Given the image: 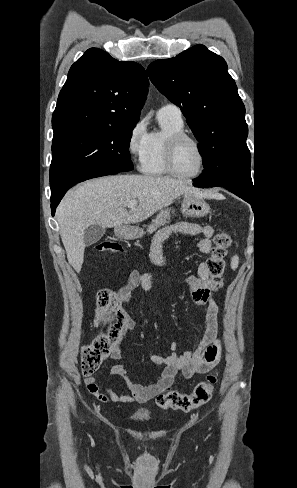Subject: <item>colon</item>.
<instances>
[{"instance_id":"1","label":"colon","mask_w":297,"mask_h":488,"mask_svg":"<svg viewBox=\"0 0 297 488\" xmlns=\"http://www.w3.org/2000/svg\"><path fill=\"white\" fill-rule=\"evenodd\" d=\"M231 239L225 232L215 236L214 248L207 260L209 277L216 283H221L225 267V257ZM100 252L122 251L121 246L112 241H102L96 245ZM97 315L107 325L105 331L91 344L81 350V370L84 376L92 375L102 362L112 354L121 338L124 326V314L119 308L115 294L109 289H101L96 296ZM218 381L217 372L210 373L203 381L198 382L191 392L182 393L177 390L157 397V405L161 409L189 411L208 402L213 396Z\"/></svg>"}]
</instances>
